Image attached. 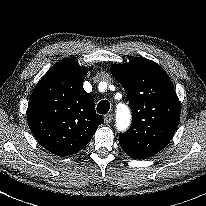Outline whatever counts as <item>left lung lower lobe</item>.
Segmentation results:
<instances>
[{"instance_id": "obj_1", "label": "left lung lower lobe", "mask_w": 206, "mask_h": 206, "mask_svg": "<svg viewBox=\"0 0 206 206\" xmlns=\"http://www.w3.org/2000/svg\"><path fill=\"white\" fill-rule=\"evenodd\" d=\"M123 149V148H122ZM130 157L135 158V159H144L147 158L143 155H141L140 153L134 151V150H130V149H123Z\"/></svg>"}]
</instances>
